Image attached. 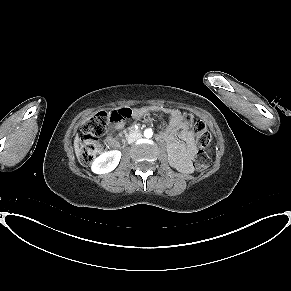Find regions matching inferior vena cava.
Returning a JSON list of instances; mask_svg holds the SVG:
<instances>
[{
  "label": "inferior vena cava",
  "instance_id": "602c4592",
  "mask_svg": "<svg viewBox=\"0 0 291 291\" xmlns=\"http://www.w3.org/2000/svg\"><path fill=\"white\" fill-rule=\"evenodd\" d=\"M142 135L141 133L139 132H134V133H131L129 136H128V143H133L134 141L138 140L139 138H141Z\"/></svg>",
  "mask_w": 291,
  "mask_h": 291
}]
</instances>
